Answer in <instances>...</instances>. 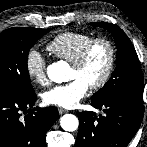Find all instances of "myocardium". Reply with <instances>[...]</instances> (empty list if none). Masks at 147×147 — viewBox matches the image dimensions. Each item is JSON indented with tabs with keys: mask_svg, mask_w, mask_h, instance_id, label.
Here are the masks:
<instances>
[{
	"mask_svg": "<svg viewBox=\"0 0 147 147\" xmlns=\"http://www.w3.org/2000/svg\"><path fill=\"white\" fill-rule=\"evenodd\" d=\"M98 44H104L107 46L108 52H109V60H108L106 70L104 74L102 75V77L97 82L89 86L93 90H98L103 88L108 83V81L110 80L114 72L115 64H116V48L114 43L107 37L94 38L83 48V50L81 51L79 56L76 58V60L71 63V66L76 69L82 68L86 64L92 50Z\"/></svg>",
	"mask_w": 147,
	"mask_h": 147,
	"instance_id": "obj_1",
	"label": "myocardium"
}]
</instances>
